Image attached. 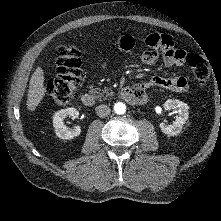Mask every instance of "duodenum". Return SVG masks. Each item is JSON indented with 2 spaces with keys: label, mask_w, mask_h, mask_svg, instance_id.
Wrapping results in <instances>:
<instances>
[{
  "label": "duodenum",
  "mask_w": 221,
  "mask_h": 221,
  "mask_svg": "<svg viewBox=\"0 0 221 221\" xmlns=\"http://www.w3.org/2000/svg\"><path fill=\"white\" fill-rule=\"evenodd\" d=\"M120 96L131 104H140L143 102L140 95L131 87H124L120 90ZM81 103L86 107H92L96 104V98L91 93L81 95Z\"/></svg>",
  "instance_id": "obj_1"
}]
</instances>
